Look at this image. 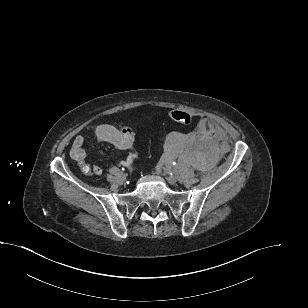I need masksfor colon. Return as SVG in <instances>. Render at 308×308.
Segmentation results:
<instances>
[{
  "mask_svg": "<svg viewBox=\"0 0 308 308\" xmlns=\"http://www.w3.org/2000/svg\"><path fill=\"white\" fill-rule=\"evenodd\" d=\"M170 118L180 125H188L193 121L191 114L180 110L171 111Z\"/></svg>",
  "mask_w": 308,
  "mask_h": 308,
  "instance_id": "obj_1",
  "label": "colon"
}]
</instances>
